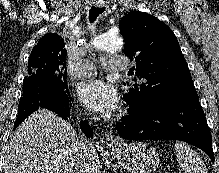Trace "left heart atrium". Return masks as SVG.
<instances>
[{"mask_svg": "<svg viewBox=\"0 0 219 173\" xmlns=\"http://www.w3.org/2000/svg\"><path fill=\"white\" fill-rule=\"evenodd\" d=\"M77 94L85 107L103 115H112L119 105L117 90L103 80L81 83Z\"/></svg>", "mask_w": 219, "mask_h": 173, "instance_id": "left-heart-atrium-1", "label": "left heart atrium"}]
</instances>
